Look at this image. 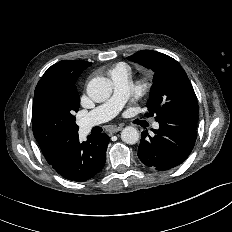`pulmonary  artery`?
<instances>
[{"mask_svg": "<svg viewBox=\"0 0 232 232\" xmlns=\"http://www.w3.org/2000/svg\"><path fill=\"white\" fill-rule=\"evenodd\" d=\"M110 77L114 86L113 94L106 102L97 106L82 118L80 124L83 132H87L92 127L115 117L130 95L131 85L128 69H115L110 73ZM153 127L157 129L159 124L154 123Z\"/></svg>", "mask_w": 232, "mask_h": 232, "instance_id": "pulmonary-artery-1", "label": "pulmonary artery"}]
</instances>
